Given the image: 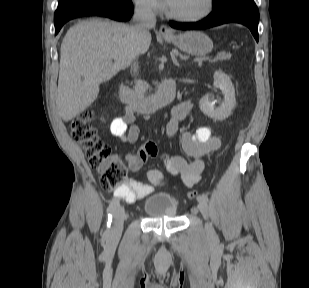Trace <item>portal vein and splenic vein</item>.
I'll return each mask as SVG.
<instances>
[{
  "label": "portal vein and splenic vein",
  "instance_id": "portal-vein-and-splenic-vein-1",
  "mask_svg": "<svg viewBox=\"0 0 309 288\" xmlns=\"http://www.w3.org/2000/svg\"><path fill=\"white\" fill-rule=\"evenodd\" d=\"M209 59H210L209 56H203L201 58L196 59V61L198 62V65L200 66L203 61H206V60H209Z\"/></svg>",
  "mask_w": 309,
  "mask_h": 288
}]
</instances>
